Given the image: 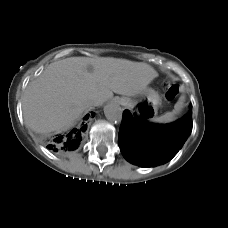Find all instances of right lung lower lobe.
<instances>
[{"instance_id": "98d812e1", "label": "right lung lower lobe", "mask_w": 228, "mask_h": 228, "mask_svg": "<svg viewBox=\"0 0 228 228\" xmlns=\"http://www.w3.org/2000/svg\"><path fill=\"white\" fill-rule=\"evenodd\" d=\"M92 116H94V114H92ZM88 118L89 114L84 117V121L81 124L65 134L46 138L44 141L46 147L58 154H68L70 151L75 150L79 146L83 135L87 130L86 120H88Z\"/></svg>"}]
</instances>
